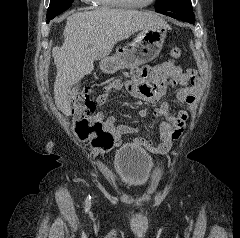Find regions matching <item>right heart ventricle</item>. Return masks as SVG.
<instances>
[{"label":"right heart ventricle","mask_w":240,"mask_h":238,"mask_svg":"<svg viewBox=\"0 0 240 238\" xmlns=\"http://www.w3.org/2000/svg\"><path fill=\"white\" fill-rule=\"evenodd\" d=\"M95 3L101 7L105 8H118L121 6L117 0H95Z\"/></svg>","instance_id":"obj_1"}]
</instances>
